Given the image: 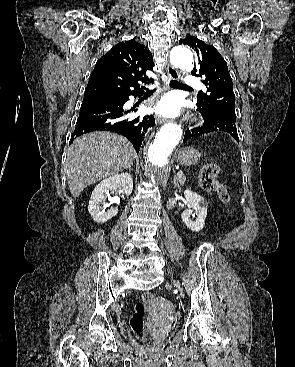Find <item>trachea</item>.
Masks as SVG:
<instances>
[{
  "label": "trachea",
  "mask_w": 295,
  "mask_h": 367,
  "mask_svg": "<svg viewBox=\"0 0 295 367\" xmlns=\"http://www.w3.org/2000/svg\"><path fill=\"white\" fill-rule=\"evenodd\" d=\"M170 86H173V87H183V88L192 89V88H190V87H188V86L184 85L183 83H180V82H178L176 80H171L170 81ZM154 90H155V88L152 89V90H150L149 88H147V91H154Z\"/></svg>",
  "instance_id": "trachea-1"
}]
</instances>
